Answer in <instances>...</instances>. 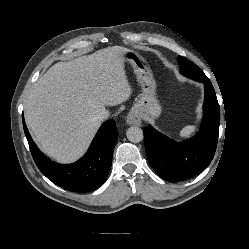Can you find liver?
I'll return each mask as SVG.
<instances>
[{"label": "liver", "mask_w": 249, "mask_h": 249, "mask_svg": "<svg viewBox=\"0 0 249 249\" xmlns=\"http://www.w3.org/2000/svg\"><path fill=\"white\" fill-rule=\"evenodd\" d=\"M126 50L113 46L58 62L38 79L25 99V120L48 156L60 163L79 159L101 125L97 114L128 100Z\"/></svg>", "instance_id": "6515ba94"}]
</instances>
